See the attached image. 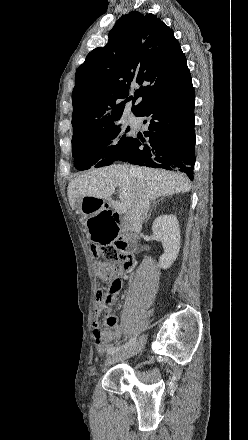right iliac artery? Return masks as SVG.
<instances>
[{
    "mask_svg": "<svg viewBox=\"0 0 248 440\" xmlns=\"http://www.w3.org/2000/svg\"><path fill=\"white\" fill-rule=\"evenodd\" d=\"M135 341H136V338L134 337V338H132L129 342H127L125 345L109 348V349L107 350V353H108V354H113V353H115V352H117V351H119V350L126 349V348H128L129 346H131L133 343H135Z\"/></svg>",
    "mask_w": 248,
    "mask_h": 440,
    "instance_id": "1",
    "label": "right iliac artery"
}]
</instances>
